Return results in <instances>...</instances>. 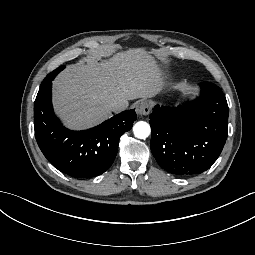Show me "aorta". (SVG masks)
I'll list each match as a JSON object with an SVG mask.
<instances>
[{
  "label": "aorta",
  "instance_id": "obj_1",
  "mask_svg": "<svg viewBox=\"0 0 255 255\" xmlns=\"http://www.w3.org/2000/svg\"><path fill=\"white\" fill-rule=\"evenodd\" d=\"M150 131L151 130L149 124L144 121H139L133 126L134 135L140 139L147 138L150 134Z\"/></svg>",
  "mask_w": 255,
  "mask_h": 255
}]
</instances>
